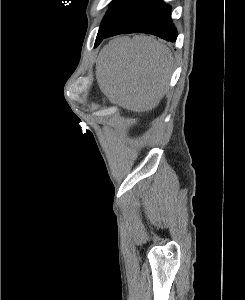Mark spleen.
I'll use <instances>...</instances> for the list:
<instances>
[{"label": "spleen", "instance_id": "1", "mask_svg": "<svg viewBox=\"0 0 245 300\" xmlns=\"http://www.w3.org/2000/svg\"><path fill=\"white\" fill-rule=\"evenodd\" d=\"M173 57L163 43L146 36L114 39L99 53L96 78L113 104L135 112L155 107L162 97Z\"/></svg>", "mask_w": 245, "mask_h": 300}]
</instances>
